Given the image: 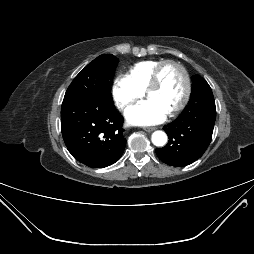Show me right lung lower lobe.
I'll return each instance as SVG.
<instances>
[{
    "label": "right lung lower lobe",
    "instance_id": "1",
    "mask_svg": "<svg viewBox=\"0 0 254 254\" xmlns=\"http://www.w3.org/2000/svg\"><path fill=\"white\" fill-rule=\"evenodd\" d=\"M123 117L114 104L97 105L78 98H64L61 131L71 155L93 168L112 165L126 145Z\"/></svg>",
    "mask_w": 254,
    "mask_h": 254
}]
</instances>
